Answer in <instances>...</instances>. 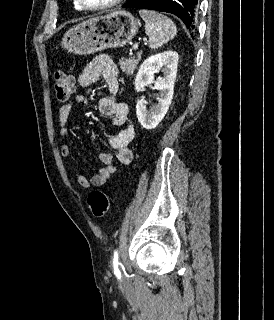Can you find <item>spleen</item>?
<instances>
[{
    "instance_id": "1",
    "label": "spleen",
    "mask_w": 274,
    "mask_h": 320,
    "mask_svg": "<svg viewBox=\"0 0 274 320\" xmlns=\"http://www.w3.org/2000/svg\"><path fill=\"white\" fill-rule=\"evenodd\" d=\"M139 14L145 22V32L149 36V48L152 50L160 48L177 36V28L167 16L153 12V10H139Z\"/></svg>"
}]
</instances>
